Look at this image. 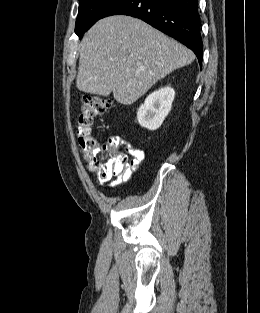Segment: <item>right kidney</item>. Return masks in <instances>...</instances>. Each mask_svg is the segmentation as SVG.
<instances>
[{
  "label": "right kidney",
  "instance_id": "1",
  "mask_svg": "<svg viewBox=\"0 0 260 313\" xmlns=\"http://www.w3.org/2000/svg\"><path fill=\"white\" fill-rule=\"evenodd\" d=\"M174 97L175 91L169 86L151 93L138 109L139 124L151 131L158 129L170 112Z\"/></svg>",
  "mask_w": 260,
  "mask_h": 313
}]
</instances>
